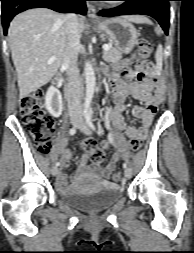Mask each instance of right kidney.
Wrapping results in <instances>:
<instances>
[{
    "instance_id": "obj_1",
    "label": "right kidney",
    "mask_w": 194,
    "mask_h": 253,
    "mask_svg": "<svg viewBox=\"0 0 194 253\" xmlns=\"http://www.w3.org/2000/svg\"><path fill=\"white\" fill-rule=\"evenodd\" d=\"M45 106L47 111L53 116V117H59L62 114V95L61 93L53 88L50 87L47 90L46 96H45Z\"/></svg>"
}]
</instances>
